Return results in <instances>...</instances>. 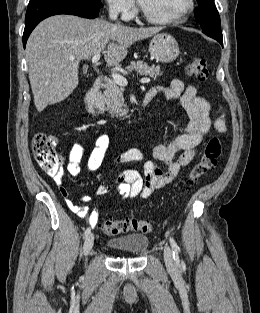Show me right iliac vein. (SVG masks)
Here are the masks:
<instances>
[{"mask_svg":"<svg viewBox=\"0 0 260 313\" xmlns=\"http://www.w3.org/2000/svg\"><path fill=\"white\" fill-rule=\"evenodd\" d=\"M93 245H94V235L92 233H89L85 239L84 246H83V251H84L85 256H87L90 253Z\"/></svg>","mask_w":260,"mask_h":313,"instance_id":"1","label":"right iliac vein"}]
</instances>
